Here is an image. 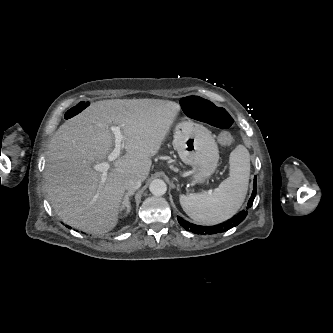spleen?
<instances>
[{"label": "spleen", "instance_id": "3e777b00", "mask_svg": "<svg viewBox=\"0 0 333 333\" xmlns=\"http://www.w3.org/2000/svg\"><path fill=\"white\" fill-rule=\"evenodd\" d=\"M230 176L212 192L181 195L179 200L185 213L194 221L212 225L226 221L241 207L247 194L250 176V155L237 146L229 156Z\"/></svg>", "mask_w": 333, "mask_h": 333}]
</instances>
